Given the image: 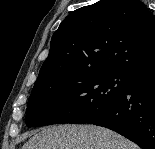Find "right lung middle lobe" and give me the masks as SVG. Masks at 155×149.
I'll list each match as a JSON object with an SVG mask.
<instances>
[{
    "label": "right lung middle lobe",
    "mask_w": 155,
    "mask_h": 149,
    "mask_svg": "<svg viewBox=\"0 0 155 149\" xmlns=\"http://www.w3.org/2000/svg\"><path fill=\"white\" fill-rule=\"evenodd\" d=\"M133 75L89 71L64 73L39 81L27 103L26 125L91 122L128 89Z\"/></svg>",
    "instance_id": "1"
}]
</instances>
